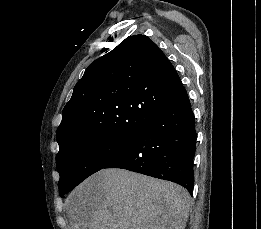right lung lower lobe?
<instances>
[{
	"label": "right lung lower lobe",
	"instance_id": "obj_1",
	"mask_svg": "<svg viewBox=\"0 0 261 229\" xmlns=\"http://www.w3.org/2000/svg\"><path fill=\"white\" fill-rule=\"evenodd\" d=\"M195 117L185 88L104 168H122L175 182L192 195L196 150Z\"/></svg>",
	"mask_w": 261,
	"mask_h": 229
}]
</instances>
